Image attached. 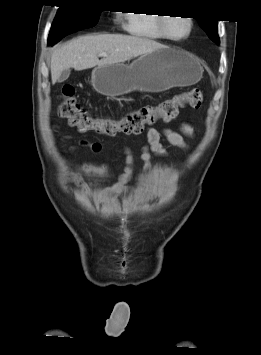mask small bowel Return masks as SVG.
Listing matches in <instances>:
<instances>
[{"mask_svg": "<svg viewBox=\"0 0 261 355\" xmlns=\"http://www.w3.org/2000/svg\"><path fill=\"white\" fill-rule=\"evenodd\" d=\"M194 135L193 127L188 123H180L177 128L165 127L161 130L150 127L146 131L147 142L141 147V160L143 161V169L146 173H152L151 157L152 155L162 156L165 154V148L162 144V138L166 139L171 145L183 150L188 149L187 138H191ZM79 146L90 149L92 152L98 153L101 151L102 145L99 142H89L87 140H81ZM125 155V167L123 172L118 176L117 182L105 188L100 194L99 198H105L111 195H124L129 192H155L157 189L150 186L151 178H148L146 184L140 188H133L127 185L128 181L134 172V155L129 147H123ZM84 171L92 172H106L107 165L104 164L99 168H95L93 165L86 163L83 166ZM67 180L78 187H81L83 192L87 194V185L85 184L81 175L77 173H70L67 176Z\"/></svg>", "mask_w": 261, "mask_h": 355, "instance_id": "c3829d8e", "label": "small bowel"}]
</instances>
